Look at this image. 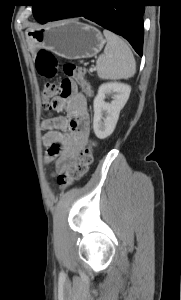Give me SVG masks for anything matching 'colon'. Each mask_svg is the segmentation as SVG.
<instances>
[{
    "label": "colon",
    "mask_w": 181,
    "mask_h": 300,
    "mask_svg": "<svg viewBox=\"0 0 181 300\" xmlns=\"http://www.w3.org/2000/svg\"><path fill=\"white\" fill-rule=\"evenodd\" d=\"M36 68L39 75L44 79H53L59 70L58 58L48 50H40L36 58ZM65 75L77 83L82 90L91 95L92 91L85 80L86 71L73 63H66L63 65ZM60 90L58 84L54 82L46 83L42 94V106L45 110L51 109V98L56 96ZM96 146L94 141H90L87 146L80 152L78 159L69 164L65 170L59 172L57 175V184L60 188L65 189L71 186L74 182L80 180L88 171L89 166L93 160V151Z\"/></svg>",
    "instance_id": "1"
}]
</instances>
